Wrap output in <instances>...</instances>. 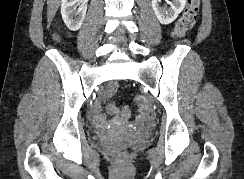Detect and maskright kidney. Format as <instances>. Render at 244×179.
<instances>
[{
    "label": "right kidney",
    "mask_w": 244,
    "mask_h": 179,
    "mask_svg": "<svg viewBox=\"0 0 244 179\" xmlns=\"http://www.w3.org/2000/svg\"><path fill=\"white\" fill-rule=\"evenodd\" d=\"M87 2L88 0H62L61 16L71 32L80 30L86 16Z\"/></svg>",
    "instance_id": "ca27d5eb"
}]
</instances>
